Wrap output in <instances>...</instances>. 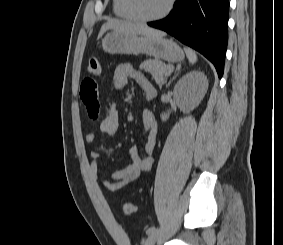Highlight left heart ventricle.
<instances>
[{"label":"left heart ventricle","mask_w":283,"mask_h":245,"mask_svg":"<svg viewBox=\"0 0 283 245\" xmlns=\"http://www.w3.org/2000/svg\"><path fill=\"white\" fill-rule=\"evenodd\" d=\"M168 0H133L135 11L142 16L151 17L163 11Z\"/></svg>","instance_id":"1"}]
</instances>
